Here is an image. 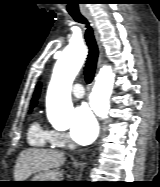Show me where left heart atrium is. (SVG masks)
Returning a JSON list of instances; mask_svg holds the SVG:
<instances>
[{
	"label": "left heart atrium",
	"instance_id": "1",
	"mask_svg": "<svg viewBox=\"0 0 160 187\" xmlns=\"http://www.w3.org/2000/svg\"><path fill=\"white\" fill-rule=\"evenodd\" d=\"M98 124L87 104L76 108L71 125V137L79 144L91 143L97 136Z\"/></svg>",
	"mask_w": 160,
	"mask_h": 187
}]
</instances>
